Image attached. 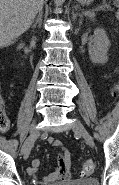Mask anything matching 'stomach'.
Wrapping results in <instances>:
<instances>
[{
  "label": "stomach",
  "mask_w": 119,
  "mask_h": 185,
  "mask_svg": "<svg viewBox=\"0 0 119 185\" xmlns=\"http://www.w3.org/2000/svg\"><path fill=\"white\" fill-rule=\"evenodd\" d=\"M78 2L82 5H89L93 0H78Z\"/></svg>",
  "instance_id": "1"
}]
</instances>
